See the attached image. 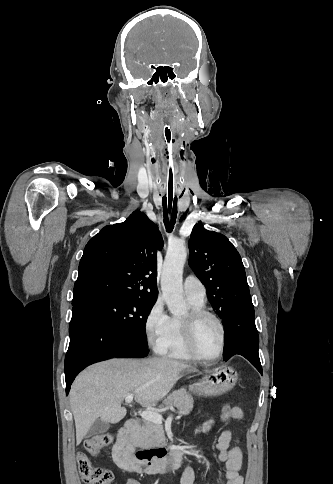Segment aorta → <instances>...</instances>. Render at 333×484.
Instances as JSON below:
<instances>
[{
    "label": "aorta",
    "mask_w": 333,
    "mask_h": 484,
    "mask_svg": "<svg viewBox=\"0 0 333 484\" xmlns=\"http://www.w3.org/2000/svg\"><path fill=\"white\" fill-rule=\"evenodd\" d=\"M187 257V250L183 243H176L168 248L161 275V291L168 310L173 315L185 311L183 297L182 275Z\"/></svg>",
    "instance_id": "aorta-1"
}]
</instances>
